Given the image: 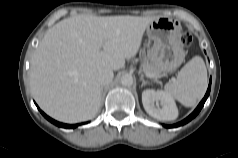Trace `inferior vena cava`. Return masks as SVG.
<instances>
[{
    "label": "inferior vena cava",
    "instance_id": "obj_1",
    "mask_svg": "<svg viewBox=\"0 0 238 158\" xmlns=\"http://www.w3.org/2000/svg\"><path fill=\"white\" fill-rule=\"evenodd\" d=\"M113 77V71L109 68H102L97 73V81L101 86H105L111 83Z\"/></svg>",
    "mask_w": 238,
    "mask_h": 158
}]
</instances>
